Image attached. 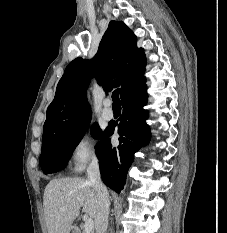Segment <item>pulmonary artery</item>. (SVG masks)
I'll use <instances>...</instances> for the list:
<instances>
[{
  "label": "pulmonary artery",
  "instance_id": "obj_1",
  "mask_svg": "<svg viewBox=\"0 0 227 233\" xmlns=\"http://www.w3.org/2000/svg\"><path fill=\"white\" fill-rule=\"evenodd\" d=\"M102 116L105 120H111L114 117V112L111 108V101L106 99L104 101V108L102 109Z\"/></svg>",
  "mask_w": 227,
  "mask_h": 233
}]
</instances>
